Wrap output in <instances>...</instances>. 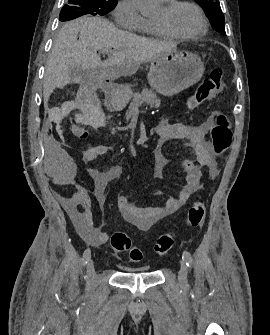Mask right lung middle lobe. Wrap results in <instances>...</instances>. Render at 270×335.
<instances>
[{
  "label": "right lung middle lobe",
  "mask_w": 270,
  "mask_h": 335,
  "mask_svg": "<svg viewBox=\"0 0 270 335\" xmlns=\"http://www.w3.org/2000/svg\"><path fill=\"white\" fill-rule=\"evenodd\" d=\"M117 4V0H68L62 7L59 20L69 21L83 15H105Z\"/></svg>",
  "instance_id": "1"
}]
</instances>
